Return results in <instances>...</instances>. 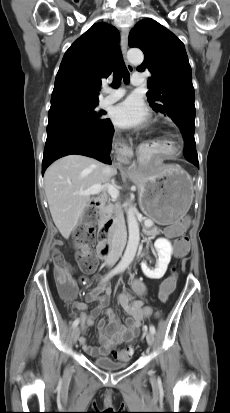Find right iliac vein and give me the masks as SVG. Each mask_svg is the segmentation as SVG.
Here are the masks:
<instances>
[{"label":"right iliac vein","instance_id":"1","mask_svg":"<svg viewBox=\"0 0 230 413\" xmlns=\"http://www.w3.org/2000/svg\"><path fill=\"white\" fill-rule=\"evenodd\" d=\"M79 334H80L79 328L74 327L72 332H71V340H72L73 344H75L77 342V340L79 338Z\"/></svg>","mask_w":230,"mask_h":413}]
</instances>
